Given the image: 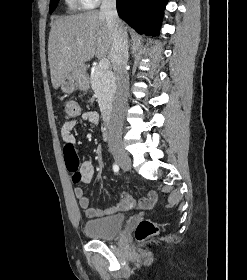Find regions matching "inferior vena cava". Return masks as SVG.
Masks as SVG:
<instances>
[{"instance_id":"inferior-vena-cava-1","label":"inferior vena cava","mask_w":247,"mask_h":280,"mask_svg":"<svg viewBox=\"0 0 247 280\" xmlns=\"http://www.w3.org/2000/svg\"><path fill=\"white\" fill-rule=\"evenodd\" d=\"M100 12L104 14L107 27L112 37L111 62L116 77V96L109 127V143H116L121 133V113L126 100L128 76L126 64L128 60V35L118 17L116 0H102Z\"/></svg>"}]
</instances>
